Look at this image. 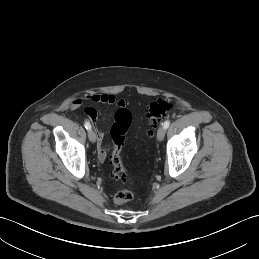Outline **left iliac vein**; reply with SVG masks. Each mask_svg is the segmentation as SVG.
Instances as JSON below:
<instances>
[{
  "instance_id": "left-iliac-vein-1",
  "label": "left iliac vein",
  "mask_w": 259,
  "mask_h": 259,
  "mask_svg": "<svg viewBox=\"0 0 259 259\" xmlns=\"http://www.w3.org/2000/svg\"><path fill=\"white\" fill-rule=\"evenodd\" d=\"M165 137V128L163 126L159 127L157 131V139L162 141Z\"/></svg>"
}]
</instances>
